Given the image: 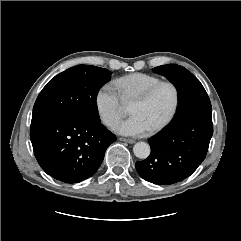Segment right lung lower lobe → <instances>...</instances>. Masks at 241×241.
<instances>
[{
    "instance_id": "obj_1",
    "label": "right lung lower lobe",
    "mask_w": 241,
    "mask_h": 241,
    "mask_svg": "<svg viewBox=\"0 0 241 241\" xmlns=\"http://www.w3.org/2000/svg\"><path fill=\"white\" fill-rule=\"evenodd\" d=\"M30 138L41 168L64 183H78L94 175L105 150L116 140L100 122L68 115L32 119Z\"/></svg>"
}]
</instances>
